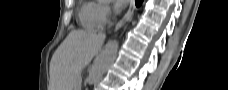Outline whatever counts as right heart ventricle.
Segmentation results:
<instances>
[{
	"mask_svg": "<svg viewBox=\"0 0 228 90\" xmlns=\"http://www.w3.org/2000/svg\"><path fill=\"white\" fill-rule=\"evenodd\" d=\"M81 24L89 29L99 28L101 24L96 17V4L92 2L84 3L79 12Z\"/></svg>",
	"mask_w": 228,
	"mask_h": 90,
	"instance_id": "1",
	"label": "right heart ventricle"
}]
</instances>
